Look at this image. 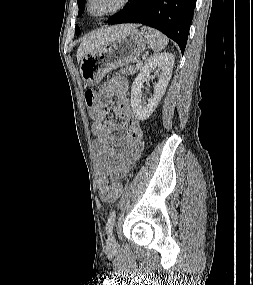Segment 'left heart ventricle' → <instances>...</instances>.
<instances>
[{
  "label": "left heart ventricle",
  "instance_id": "left-heart-ventricle-1",
  "mask_svg": "<svg viewBox=\"0 0 253 285\" xmlns=\"http://www.w3.org/2000/svg\"><path fill=\"white\" fill-rule=\"evenodd\" d=\"M120 0H93L91 11L95 14L102 13L113 9L119 4Z\"/></svg>",
  "mask_w": 253,
  "mask_h": 285
}]
</instances>
